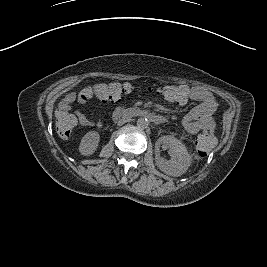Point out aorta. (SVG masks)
Here are the masks:
<instances>
[{
    "label": "aorta",
    "instance_id": "aorta-1",
    "mask_svg": "<svg viewBox=\"0 0 267 267\" xmlns=\"http://www.w3.org/2000/svg\"><path fill=\"white\" fill-rule=\"evenodd\" d=\"M149 125V121L147 118H144V117H140L138 120H137V127L140 128V129H145L147 128Z\"/></svg>",
    "mask_w": 267,
    "mask_h": 267
}]
</instances>
